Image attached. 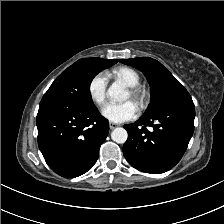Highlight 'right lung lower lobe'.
Wrapping results in <instances>:
<instances>
[{"label": "right lung lower lobe", "mask_w": 224, "mask_h": 224, "mask_svg": "<svg viewBox=\"0 0 224 224\" xmlns=\"http://www.w3.org/2000/svg\"><path fill=\"white\" fill-rule=\"evenodd\" d=\"M39 149L58 175L74 178L95 164L107 137L108 121L93 106L44 95L36 118Z\"/></svg>", "instance_id": "98d812e1"}]
</instances>
